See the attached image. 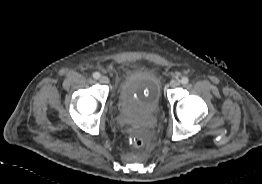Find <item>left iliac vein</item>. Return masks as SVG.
I'll list each match as a JSON object with an SVG mask.
<instances>
[{"instance_id": "obj_1", "label": "left iliac vein", "mask_w": 262, "mask_h": 184, "mask_svg": "<svg viewBox=\"0 0 262 184\" xmlns=\"http://www.w3.org/2000/svg\"><path fill=\"white\" fill-rule=\"evenodd\" d=\"M180 85V81H178V80H172L171 82H170V86L172 87V88H176V87H178Z\"/></svg>"}]
</instances>
